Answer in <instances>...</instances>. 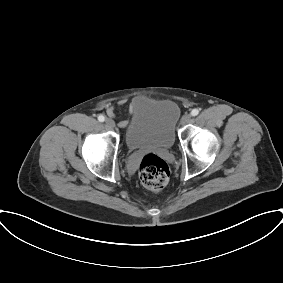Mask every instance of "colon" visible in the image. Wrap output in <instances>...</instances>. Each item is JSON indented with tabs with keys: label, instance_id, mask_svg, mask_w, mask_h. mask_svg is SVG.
<instances>
[{
	"label": "colon",
	"instance_id": "1",
	"mask_svg": "<svg viewBox=\"0 0 283 283\" xmlns=\"http://www.w3.org/2000/svg\"><path fill=\"white\" fill-rule=\"evenodd\" d=\"M139 179L145 189L151 192L162 190L169 181L167 163L155 154H147L139 166Z\"/></svg>",
	"mask_w": 283,
	"mask_h": 283
}]
</instances>
